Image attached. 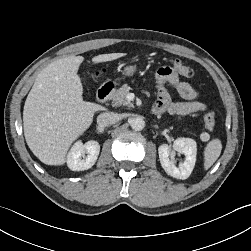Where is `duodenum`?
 <instances>
[{
    "instance_id": "1",
    "label": "duodenum",
    "mask_w": 251,
    "mask_h": 251,
    "mask_svg": "<svg viewBox=\"0 0 251 251\" xmlns=\"http://www.w3.org/2000/svg\"><path fill=\"white\" fill-rule=\"evenodd\" d=\"M114 88L115 84L112 82L106 83L101 86L96 93L97 100L101 103L106 102L109 99Z\"/></svg>"
}]
</instances>
